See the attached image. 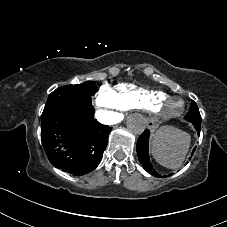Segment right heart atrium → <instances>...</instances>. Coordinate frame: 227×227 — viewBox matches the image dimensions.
Wrapping results in <instances>:
<instances>
[{
    "mask_svg": "<svg viewBox=\"0 0 227 227\" xmlns=\"http://www.w3.org/2000/svg\"><path fill=\"white\" fill-rule=\"evenodd\" d=\"M95 106L109 119L118 118L122 112L112 89L107 85L101 86L96 93Z\"/></svg>",
    "mask_w": 227,
    "mask_h": 227,
    "instance_id": "right-heart-atrium-1",
    "label": "right heart atrium"
}]
</instances>
